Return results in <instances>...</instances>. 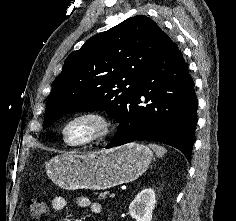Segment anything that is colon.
<instances>
[{
  "instance_id": "colon-1",
  "label": "colon",
  "mask_w": 236,
  "mask_h": 221,
  "mask_svg": "<svg viewBox=\"0 0 236 221\" xmlns=\"http://www.w3.org/2000/svg\"><path fill=\"white\" fill-rule=\"evenodd\" d=\"M29 212L33 218H40L46 211V204L39 197H32L27 201Z\"/></svg>"
}]
</instances>
